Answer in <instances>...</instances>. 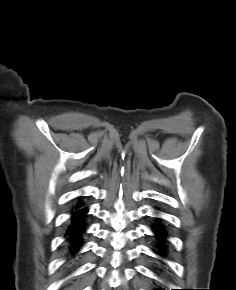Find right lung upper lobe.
I'll use <instances>...</instances> for the list:
<instances>
[{"instance_id": "right-lung-upper-lobe-1", "label": "right lung upper lobe", "mask_w": 236, "mask_h": 290, "mask_svg": "<svg viewBox=\"0 0 236 290\" xmlns=\"http://www.w3.org/2000/svg\"><path fill=\"white\" fill-rule=\"evenodd\" d=\"M80 205V203L78 202L77 204H76V206H79Z\"/></svg>"}]
</instances>
